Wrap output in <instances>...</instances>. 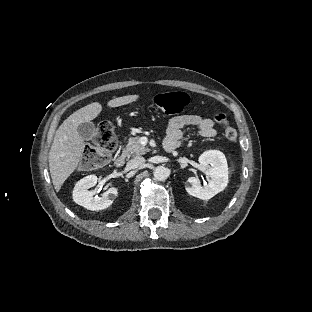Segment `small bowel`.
<instances>
[{"label":"small bowel","instance_id":"1","mask_svg":"<svg viewBox=\"0 0 312 312\" xmlns=\"http://www.w3.org/2000/svg\"><path fill=\"white\" fill-rule=\"evenodd\" d=\"M196 127L205 138H213L216 135L215 122L211 118L198 114H182L172 117L167 126V135L164 144L181 145L183 128Z\"/></svg>","mask_w":312,"mask_h":312}]
</instances>
